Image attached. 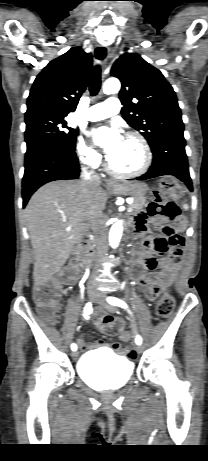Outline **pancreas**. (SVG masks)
Masks as SVG:
<instances>
[{"label":"pancreas","instance_id":"obj_1","mask_svg":"<svg viewBox=\"0 0 208 461\" xmlns=\"http://www.w3.org/2000/svg\"><path fill=\"white\" fill-rule=\"evenodd\" d=\"M146 205V199L145 198H140V199H134V202L130 205L133 211H139L143 209V207Z\"/></svg>","mask_w":208,"mask_h":461}]
</instances>
